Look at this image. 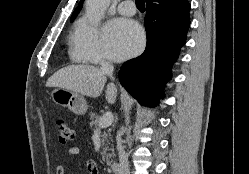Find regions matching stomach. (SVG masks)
Masks as SVG:
<instances>
[{
	"mask_svg": "<svg viewBox=\"0 0 249 174\" xmlns=\"http://www.w3.org/2000/svg\"><path fill=\"white\" fill-rule=\"evenodd\" d=\"M51 98L57 105L68 107L77 115H83L87 112V102L79 93L57 87L52 91Z\"/></svg>",
	"mask_w": 249,
	"mask_h": 174,
	"instance_id": "obj_1",
	"label": "stomach"
}]
</instances>
